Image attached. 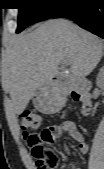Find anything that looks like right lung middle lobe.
Wrapping results in <instances>:
<instances>
[{"mask_svg":"<svg viewBox=\"0 0 104 169\" xmlns=\"http://www.w3.org/2000/svg\"><path fill=\"white\" fill-rule=\"evenodd\" d=\"M19 5L17 33L29 25L53 17L76 0H16Z\"/></svg>","mask_w":104,"mask_h":169,"instance_id":"obj_1","label":"right lung middle lobe"}]
</instances>
